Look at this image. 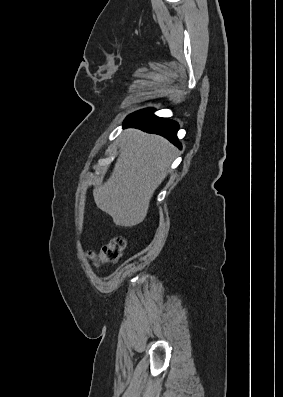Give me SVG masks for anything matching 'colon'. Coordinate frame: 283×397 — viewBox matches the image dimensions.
<instances>
[{
	"mask_svg": "<svg viewBox=\"0 0 283 397\" xmlns=\"http://www.w3.org/2000/svg\"><path fill=\"white\" fill-rule=\"evenodd\" d=\"M126 248V240L123 237H115L105 244L99 252L90 256L96 265L117 262Z\"/></svg>",
	"mask_w": 283,
	"mask_h": 397,
	"instance_id": "obj_1",
	"label": "colon"
}]
</instances>
